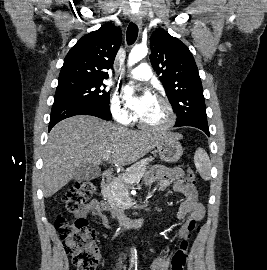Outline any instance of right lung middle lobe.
<instances>
[{"label":"right lung middle lobe","mask_w":267,"mask_h":270,"mask_svg":"<svg viewBox=\"0 0 267 270\" xmlns=\"http://www.w3.org/2000/svg\"><path fill=\"white\" fill-rule=\"evenodd\" d=\"M102 79L80 77L59 78L54 103L78 105H109L110 93Z\"/></svg>","instance_id":"dd1d6c3e"}]
</instances>
